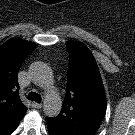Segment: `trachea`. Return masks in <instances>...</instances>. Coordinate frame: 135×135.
<instances>
[{
  "instance_id": "obj_1",
  "label": "trachea",
  "mask_w": 135,
  "mask_h": 135,
  "mask_svg": "<svg viewBox=\"0 0 135 135\" xmlns=\"http://www.w3.org/2000/svg\"><path fill=\"white\" fill-rule=\"evenodd\" d=\"M27 99L31 101H35L37 103H40L42 100L41 96L35 92H30L27 96Z\"/></svg>"
}]
</instances>
